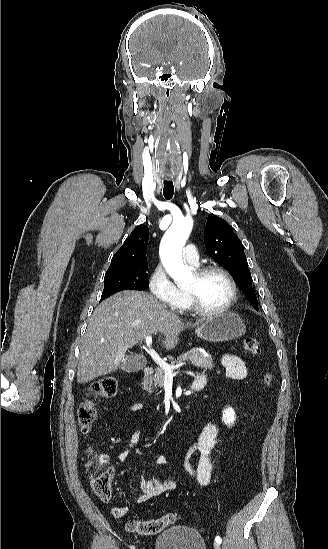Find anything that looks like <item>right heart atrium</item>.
Returning a JSON list of instances; mask_svg holds the SVG:
<instances>
[{
  "label": "right heart atrium",
  "instance_id": "1",
  "mask_svg": "<svg viewBox=\"0 0 328 549\" xmlns=\"http://www.w3.org/2000/svg\"><path fill=\"white\" fill-rule=\"evenodd\" d=\"M148 289L153 303H168L175 294V286L160 262L150 269Z\"/></svg>",
  "mask_w": 328,
  "mask_h": 549
}]
</instances>
